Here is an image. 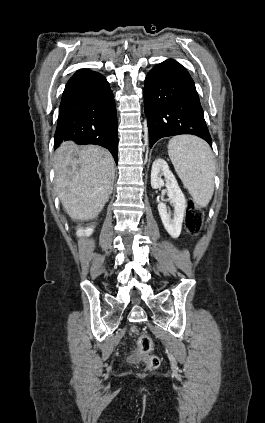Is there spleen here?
I'll use <instances>...</instances> for the list:
<instances>
[{
	"mask_svg": "<svg viewBox=\"0 0 265 423\" xmlns=\"http://www.w3.org/2000/svg\"><path fill=\"white\" fill-rule=\"evenodd\" d=\"M168 155L193 201L206 207L214 192L215 161L209 145L189 135L173 137Z\"/></svg>",
	"mask_w": 265,
	"mask_h": 423,
	"instance_id": "1",
	"label": "spleen"
}]
</instances>
